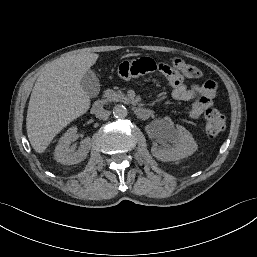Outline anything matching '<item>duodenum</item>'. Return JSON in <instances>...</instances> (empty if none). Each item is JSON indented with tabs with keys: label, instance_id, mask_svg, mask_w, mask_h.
I'll list each match as a JSON object with an SVG mask.
<instances>
[{
	"label": "duodenum",
	"instance_id": "410a0bca",
	"mask_svg": "<svg viewBox=\"0 0 257 257\" xmlns=\"http://www.w3.org/2000/svg\"><path fill=\"white\" fill-rule=\"evenodd\" d=\"M103 108L104 103L101 100H96L92 105V111L95 114L101 113ZM134 112L140 119H147L152 115V111L145 107H135Z\"/></svg>",
	"mask_w": 257,
	"mask_h": 257
}]
</instances>
